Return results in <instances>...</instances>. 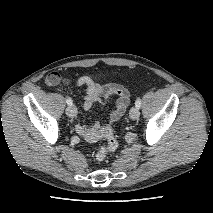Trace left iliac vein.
<instances>
[{
  "label": "left iliac vein",
  "instance_id": "1",
  "mask_svg": "<svg viewBox=\"0 0 213 213\" xmlns=\"http://www.w3.org/2000/svg\"><path fill=\"white\" fill-rule=\"evenodd\" d=\"M129 116L132 120H136L139 118L140 116V111H139V108H137L136 106L135 107H132L130 109V112H129Z\"/></svg>",
  "mask_w": 213,
  "mask_h": 213
}]
</instances>
